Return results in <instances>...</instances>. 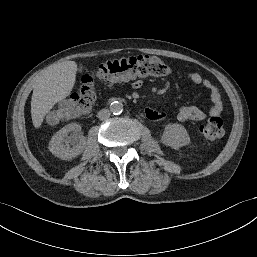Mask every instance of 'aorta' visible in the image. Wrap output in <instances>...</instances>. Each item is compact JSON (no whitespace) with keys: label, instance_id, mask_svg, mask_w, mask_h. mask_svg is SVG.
Segmentation results:
<instances>
[{"label":"aorta","instance_id":"aorta-1","mask_svg":"<svg viewBox=\"0 0 257 257\" xmlns=\"http://www.w3.org/2000/svg\"><path fill=\"white\" fill-rule=\"evenodd\" d=\"M110 110L114 115L121 114L123 112V104L119 101H114L110 104Z\"/></svg>","mask_w":257,"mask_h":257}]
</instances>
